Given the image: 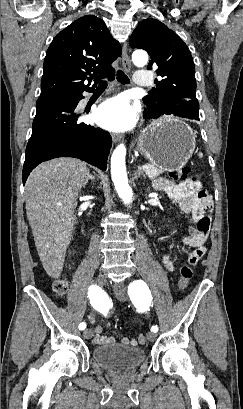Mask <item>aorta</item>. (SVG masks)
<instances>
[{
    "label": "aorta",
    "instance_id": "1",
    "mask_svg": "<svg viewBox=\"0 0 243 409\" xmlns=\"http://www.w3.org/2000/svg\"><path fill=\"white\" fill-rule=\"evenodd\" d=\"M132 61L137 66H144L148 62V55L143 51H136L132 55ZM126 147L124 144H120L113 151L111 156V176L115 189L119 197L125 204L132 202L133 192L128 184L126 166Z\"/></svg>",
    "mask_w": 243,
    "mask_h": 409
}]
</instances>
